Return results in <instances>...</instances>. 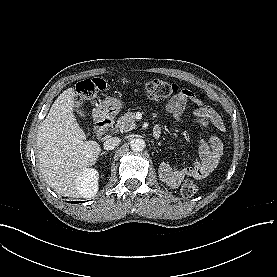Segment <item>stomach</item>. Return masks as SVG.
Returning <instances> with one entry per match:
<instances>
[{
    "instance_id": "0dacf381",
    "label": "stomach",
    "mask_w": 277,
    "mask_h": 277,
    "mask_svg": "<svg viewBox=\"0 0 277 277\" xmlns=\"http://www.w3.org/2000/svg\"><path fill=\"white\" fill-rule=\"evenodd\" d=\"M122 107H123V102L120 99L114 98V97H110L106 99L101 106L102 111L108 115L118 114L122 109Z\"/></svg>"
}]
</instances>
